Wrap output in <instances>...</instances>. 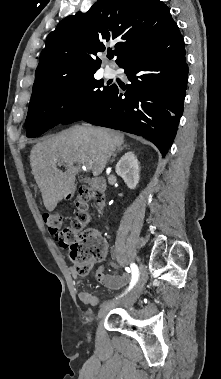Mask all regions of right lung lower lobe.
Masks as SVG:
<instances>
[{
	"label": "right lung lower lobe",
	"mask_w": 221,
	"mask_h": 379,
	"mask_svg": "<svg viewBox=\"0 0 221 379\" xmlns=\"http://www.w3.org/2000/svg\"><path fill=\"white\" fill-rule=\"evenodd\" d=\"M131 82L109 92L75 121L122 130L154 143L167 154L183 113L188 66L177 24L127 55L119 64Z\"/></svg>",
	"instance_id": "right-lung-lower-lobe-1"
}]
</instances>
